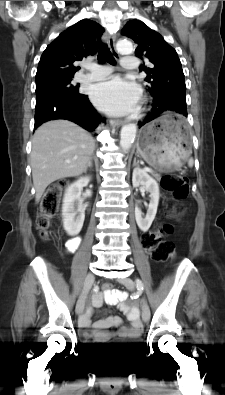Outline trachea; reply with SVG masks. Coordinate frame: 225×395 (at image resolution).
<instances>
[{
    "label": "trachea",
    "instance_id": "3493384b",
    "mask_svg": "<svg viewBox=\"0 0 225 395\" xmlns=\"http://www.w3.org/2000/svg\"><path fill=\"white\" fill-rule=\"evenodd\" d=\"M98 48H99V53H98V61L99 63H104L107 61L110 64H115L114 57L112 56L109 48L107 47L106 44L98 41Z\"/></svg>",
    "mask_w": 225,
    "mask_h": 395
}]
</instances>
